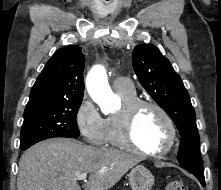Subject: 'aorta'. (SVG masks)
<instances>
[{
    "mask_svg": "<svg viewBox=\"0 0 221 190\" xmlns=\"http://www.w3.org/2000/svg\"><path fill=\"white\" fill-rule=\"evenodd\" d=\"M86 86L89 95L99 105L102 113L109 114L116 96L109 86L106 70L103 66L96 65L90 70L87 75Z\"/></svg>",
    "mask_w": 221,
    "mask_h": 190,
    "instance_id": "1",
    "label": "aorta"
}]
</instances>
